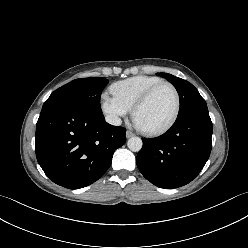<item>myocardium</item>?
Here are the masks:
<instances>
[{
  "label": "myocardium",
  "instance_id": "myocardium-1",
  "mask_svg": "<svg viewBox=\"0 0 248 248\" xmlns=\"http://www.w3.org/2000/svg\"><path fill=\"white\" fill-rule=\"evenodd\" d=\"M162 86H168L172 89L174 96H175V109L170 117V119L163 125L156 127V128H145L140 126L137 121H136V116L138 111L148 102V100L151 98V96ZM180 107H181V99H180V94L177 90V88L170 82L168 81H160L157 84L153 85L150 87L146 92L142 94V96L136 101L132 108V117L139 128V130L147 135H159L167 131L171 126L175 123L179 112H180Z\"/></svg>",
  "mask_w": 248,
  "mask_h": 248
}]
</instances>
